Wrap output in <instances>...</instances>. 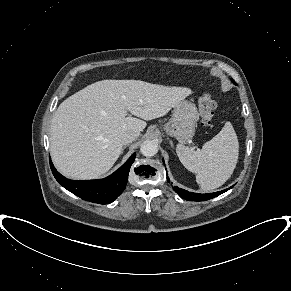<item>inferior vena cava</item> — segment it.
<instances>
[{"instance_id": "1", "label": "inferior vena cava", "mask_w": 291, "mask_h": 291, "mask_svg": "<svg viewBox=\"0 0 291 291\" xmlns=\"http://www.w3.org/2000/svg\"><path fill=\"white\" fill-rule=\"evenodd\" d=\"M140 135V132L137 131H126L121 135L122 144H129L135 141Z\"/></svg>"}]
</instances>
